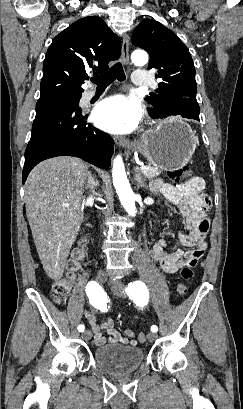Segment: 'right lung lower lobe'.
<instances>
[{
	"instance_id": "obj_1",
	"label": "right lung lower lobe",
	"mask_w": 243,
	"mask_h": 409,
	"mask_svg": "<svg viewBox=\"0 0 243 409\" xmlns=\"http://www.w3.org/2000/svg\"><path fill=\"white\" fill-rule=\"evenodd\" d=\"M79 103L38 101L31 139L25 151L23 184L39 162L55 156L79 157L108 169L113 154L112 137L84 119Z\"/></svg>"
}]
</instances>
